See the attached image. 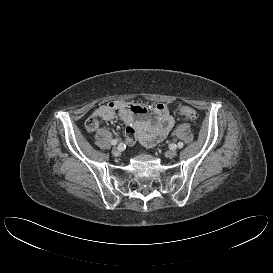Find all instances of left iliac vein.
Returning <instances> with one entry per match:
<instances>
[{
  "label": "left iliac vein",
  "mask_w": 273,
  "mask_h": 273,
  "mask_svg": "<svg viewBox=\"0 0 273 273\" xmlns=\"http://www.w3.org/2000/svg\"><path fill=\"white\" fill-rule=\"evenodd\" d=\"M177 155V151L176 150H169L165 153V156L168 158H173Z\"/></svg>",
  "instance_id": "obj_1"
}]
</instances>
